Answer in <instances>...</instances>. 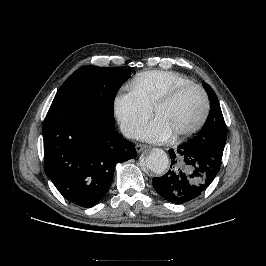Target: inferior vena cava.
I'll use <instances>...</instances> for the list:
<instances>
[{"label":"inferior vena cava","instance_id":"inferior-vena-cava-1","mask_svg":"<svg viewBox=\"0 0 266 266\" xmlns=\"http://www.w3.org/2000/svg\"><path fill=\"white\" fill-rule=\"evenodd\" d=\"M120 130H121L122 134L127 138H132L134 136V133H135L133 127L126 125V124H121Z\"/></svg>","mask_w":266,"mask_h":266}]
</instances>
